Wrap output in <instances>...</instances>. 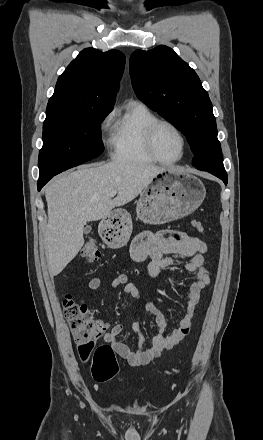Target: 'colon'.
<instances>
[{"mask_svg":"<svg viewBox=\"0 0 263 440\" xmlns=\"http://www.w3.org/2000/svg\"><path fill=\"white\" fill-rule=\"evenodd\" d=\"M193 227L199 233L204 232V226L200 221H193ZM81 256L88 262H95L100 258V251L93 239L85 242L81 249ZM63 310L77 343L78 357L82 361L92 359V375L96 381L113 380L118 374L114 351L109 345H97L100 332L88 306L67 295L63 300ZM179 370L178 367H174L167 371V375L174 376Z\"/></svg>","mask_w":263,"mask_h":440,"instance_id":"1","label":"colon"}]
</instances>
